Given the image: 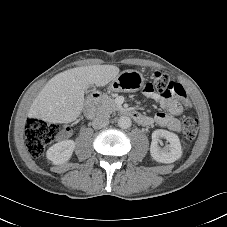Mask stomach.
<instances>
[{"label": "stomach", "instance_id": "1", "mask_svg": "<svg viewBox=\"0 0 227 227\" xmlns=\"http://www.w3.org/2000/svg\"><path fill=\"white\" fill-rule=\"evenodd\" d=\"M143 75L136 70H125L118 74L110 83L108 91L110 92H137L144 84Z\"/></svg>", "mask_w": 227, "mask_h": 227}]
</instances>
